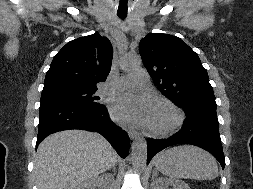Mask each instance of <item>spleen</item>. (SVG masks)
Masks as SVG:
<instances>
[{
  "label": "spleen",
  "instance_id": "1",
  "mask_svg": "<svg viewBox=\"0 0 253 189\" xmlns=\"http://www.w3.org/2000/svg\"><path fill=\"white\" fill-rule=\"evenodd\" d=\"M157 169L172 179L212 180L218 176L215 158L191 145L171 147L156 158Z\"/></svg>",
  "mask_w": 253,
  "mask_h": 189
}]
</instances>
